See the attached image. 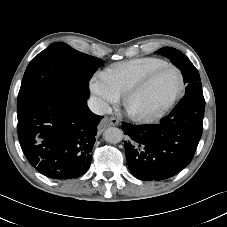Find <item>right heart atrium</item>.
<instances>
[{
	"label": "right heart atrium",
	"instance_id": "d8ad5b80",
	"mask_svg": "<svg viewBox=\"0 0 227 227\" xmlns=\"http://www.w3.org/2000/svg\"><path fill=\"white\" fill-rule=\"evenodd\" d=\"M89 89L98 107L106 111L111 105L116 104L120 95L112 86L104 72L94 75L89 82Z\"/></svg>",
	"mask_w": 227,
	"mask_h": 227
}]
</instances>
